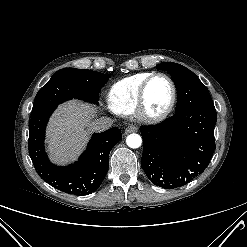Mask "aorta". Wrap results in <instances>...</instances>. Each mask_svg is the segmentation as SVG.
<instances>
[{
	"label": "aorta",
	"mask_w": 247,
	"mask_h": 247,
	"mask_svg": "<svg viewBox=\"0 0 247 247\" xmlns=\"http://www.w3.org/2000/svg\"><path fill=\"white\" fill-rule=\"evenodd\" d=\"M126 143L130 148H139L142 144V138L140 135L133 133L127 136Z\"/></svg>",
	"instance_id": "aorta-1"
}]
</instances>
